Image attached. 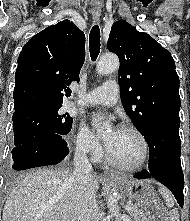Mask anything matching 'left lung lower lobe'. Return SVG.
Here are the masks:
<instances>
[{
	"mask_svg": "<svg viewBox=\"0 0 190 221\" xmlns=\"http://www.w3.org/2000/svg\"><path fill=\"white\" fill-rule=\"evenodd\" d=\"M143 135L150 150L149 169L135 174L134 177L155 178L174 194L179 205L183 207L184 176L180 161L179 124L158 123Z\"/></svg>",
	"mask_w": 190,
	"mask_h": 221,
	"instance_id": "0a47b994",
	"label": "left lung lower lobe"
}]
</instances>
